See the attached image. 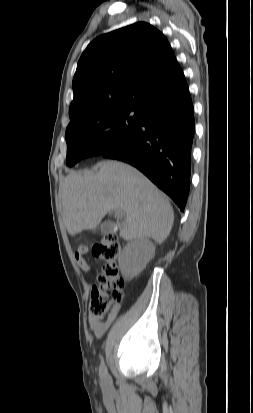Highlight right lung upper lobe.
<instances>
[{
	"label": "right lung upper lobe",
	"mask_w": 253,
	"mask_h": 413,
	"mask_svg": "<svg viewBox=\"0 0 253 413\" xmlns=\"http://www.w3.org/2000/svg\"><path fill=\"white\" fill-rule=\"evenodd\" d=\"M189 91L183 71L156 28L138 22L94 39L73 78L70 121L115 106L144 109Z\"/></svg>",
	"instance_id": "right-lung-upper-lobe-1"
}]
</instances>
